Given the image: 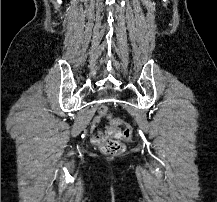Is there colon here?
Wrapping results in <instances>:
<instances>
[{
  "label": "colon",
  "mask_w": 217,
  "mask_h": 202,
  "mask_svg": "<svg viewBox=\"0 0 217 202\" xmlns=\"http://www.w3.org/2000/svg\"><path fill=\"white\" fill-rule=\"evenodd\" d=\"M100 108L98 109V114L101 118H106L108 115V110L105 108V104H100ZM112 115H108L110 118ZM124 118H115L112 122L108 121V126H124ZM132 127H125L123 131V135L121 138H115V140L107 141L103 145L104 153L108 155H118L123 149L122 141H131L132 140Z\"/></svg>",
  "instance_id": "obj_1"
}]
</instances>
